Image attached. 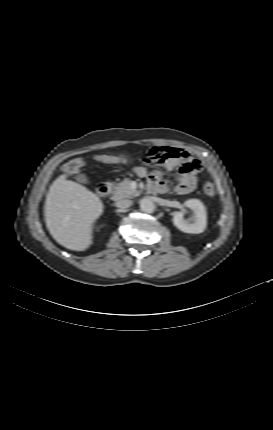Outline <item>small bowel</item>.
Wrapping results in <instances>:
<instances>
[{
	"instance_id": "small-bowel-1",
	"label": "small bowel",
	"mask_w": 273,
	"mask_h": 430,
	"mask_svg": "<svg viewBox=\"0 0 273 430\" xmlns=\"http://www.w3.org/2000/svg\"><path fill=\"white\" fill-rule=\"evenodd\" d=\"M120 157L127 156L120 155ZM144 161L146 164L162 166L169 172L179 169L180 175L175 186L178 194L193 191L197 185L198 174L202 171L201 163L190 152L170 146L152 148L145 154ZM133 171L140 177L148 178L150 189L153 192L163 193L168 190L163 172L155 170L149 174L142 166L134 167Z\"/></svg>"
}]
</instances>
